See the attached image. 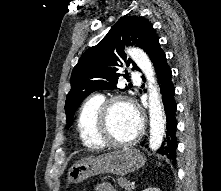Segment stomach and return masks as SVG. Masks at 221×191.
Here are the masks:
<instances>
[{
    "label": "stomach",
    "mask_w": 221,
    "mask_h": 191,
    "mask_svg": "<svg viewBox=\"0 0 221 191\" xmlns=\"http://www.w3.org/2000/svg\"><path fill=\"white\" fill-rule=\"evenodd\" d=\"M144 163L145 159L137 149L117 150L75 162L69 169L67 179L70 183H79L101 173L124 176L139 169Z\"/></svg>",
    "instance_id": "stomach-1"
}]
</instances>
